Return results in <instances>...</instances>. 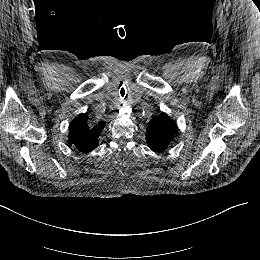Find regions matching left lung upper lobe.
<instances>
[{
  "label": "left lung upper lobe",
  "mask_w": 260,
  "mask_h": 260,
  "mask_svg": "<svg viewBox=\"0 0 260 260\" xmlns=\"http://www.w3.org/2000/svg\"><path fill=\"white\" fill-rule=\"evenodd\" d=\"M176 133V122L166 113H161L149 122L146 141L151 150L161 153L171 144Z\"/></svg>",
  "instance_id": "left-lung-upper-lobe-1"
}]
</instances>
